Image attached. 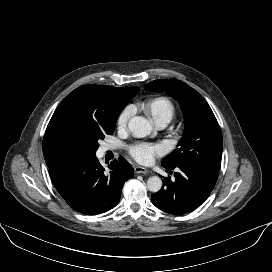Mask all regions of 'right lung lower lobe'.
Wrapping results in <instances>:
<instances>
[{"label": "right lung lower lobe", "mask_w": 272, "mask_h": 272, "mask_svg": "<svg viewBox=\"0 0 272 272\" xmlns=\"http://www.w3.org/2000/svg\"><path fill=\"white\" fill-rule=\"evenodd\" d=\"M105 171L96 155L62 161L49 166L51 180L62 198L74 210L95 215L114 208L124 183L134 169L123 158L109 164Z\"/></svg>", "instance_id": "1"}]
</instances>
